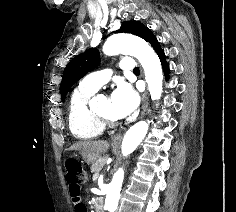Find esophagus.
Wrapping results in <instances>:
<instances>
[{
    "label": "esophagus",
    "mask_w": 236,
    "mask_h": 212,
    "mask_svg": "<svg viewBox=\"0 0 236 212\" xmlns=\"http://www.w3.org/2000/svg\"><path fill=\"white\" fill-rule=\"evenodd\" d=\"M148 107V97H147V91L144 93V99H143V106H142V114L146 111ZM122 139V134H116L112 137L113 143H118Z\"/></svg>",
    "instance_id": "34e87169"
}]
</instances>
